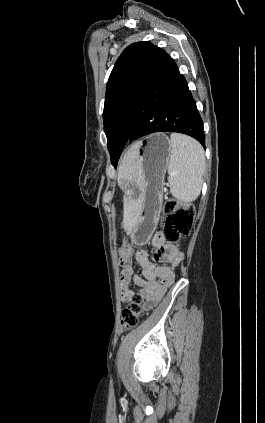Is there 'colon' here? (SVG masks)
Here are the masks:
<instances>
[{
	"label": "colon",
	"mask_w": 265,
	"mask_h": 423,
	"mask_svg": "<svg viewBox=\"0 0 265 423\" xmlns=\"http://www.w3.org/2000/svg\"><path fill=\"white\" fill-rule=\"evenodd\" d=\"M195 209L191 205L182 204L176 199H169L164 204L163 234L168 243L177 244L180 240L189 235L194 224ZM131 251L128 242L120 246V256L126 257ZM142 298L135 294L131 304L122 312L121 324L126 329L136 327L142 317Z\"/></svg>",
	"instance_id": "1"
}]
</instances>
